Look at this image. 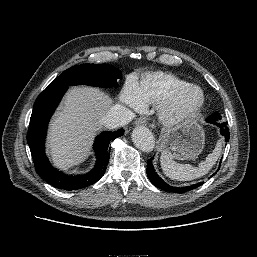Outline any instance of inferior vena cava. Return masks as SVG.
I'll use <instances>...</instances> for the list:
<instances>
[{"label": "inferior vena cava", "mask_w": 257, "mask_h": 257, "mask_svg": "<svg viewBox=\"0 0 257 257\" xmlns=\"http://www.w3.org/2000/svg\"><path fill=\"white\" fill-rule=\"evenodd\" d=\"M135 117L134 113L123 105L116 104L102 118V123L109 128L125 126Z\"/></svg>", "instance_id": "inferior-vena-cava-1"}]
</instances>
